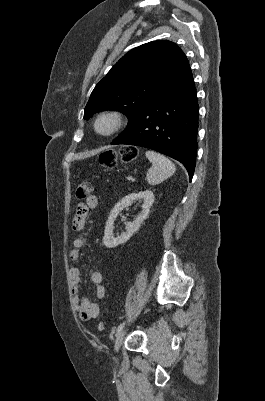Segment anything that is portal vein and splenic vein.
I'll return each mask as SVG.
<instances>
[{"instance_id":"portal-vein-and-splenic-vein-1","label":"portal vein and splenic vein","mask_w":265,"mask_h":401,"mask_svg":"<svg viewBox=\"0 0 265 401\" xmlns=\"http://www.w3.org/2000/svg\"><path fill=\"white\" fill-rule=\"evenodd\" d=\"M132 178H133V175H130V176H127V177H126V180L131 181Z\"/></svg>"}]
</instances>
